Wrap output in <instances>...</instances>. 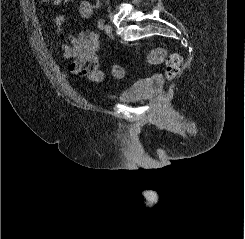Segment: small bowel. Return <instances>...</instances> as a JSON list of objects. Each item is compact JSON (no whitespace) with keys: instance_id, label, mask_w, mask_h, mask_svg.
Masks as SVG:
<instances>
[{"instance_id":"c3829d8e","label":"small bowel","mask_w":245,"mask_h":239,"mask_svg":"<svg viewBox=\"0 0 245 239\" xmlns=\"http://www.w3.org/2000/svg\"><path fill=\"white\" fill-rule=\"evenodd\" d=\"M64 0H52L54 7L63 3ZM78 12L84 19H89L93 14V6L87 0H81L78 5ZM56 33L61 35L64 32L65 16L57 15L54 20ZM63 58L74 60L69 66L72 75L85 77L90 83L99 84L105 80V74L100 69L98 57L99 40L93 30H85L78 35L71 36L68 43H62Z\"/></svg>"}]
</instances>
